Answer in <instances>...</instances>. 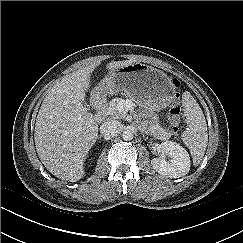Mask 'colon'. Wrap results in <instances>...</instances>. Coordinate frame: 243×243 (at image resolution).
Segmentation results:
<instances>
[{
  "instance_id": "colon-1",
  "label": "colon",
  "mask_w": 243,
  "mask_h": 243,
  "mask_svg": "<svg viewBox=\"0 0 243 243\" xmlns=\"http://www.w3.org/2000/svg\"><path fill=\"white\" fill-rule=\"evenodd\" d=\"M173 84L176 87H179L180 83L177 79L173 80ZM176 102L171 108L169 109L168 120L171 126V131L173 133H177L179 130V124L181 119V108L177 104V100L179 99V94L175 95Z\"/></svg>"
}]
</instances>
